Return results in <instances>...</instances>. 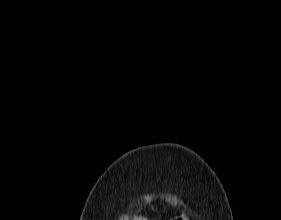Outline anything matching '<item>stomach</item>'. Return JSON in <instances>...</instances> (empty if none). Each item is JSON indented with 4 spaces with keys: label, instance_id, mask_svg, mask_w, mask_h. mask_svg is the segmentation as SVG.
<instances>
[{
    "label": "stomach",
    "instance_id": "stomach-1",
    "mask_svg": "<svg viewBox=\"0 0 281 220\" xmlns=\"http://www.w3.org/2000/svg\"><path fill=\"white\" fill-rule=\"evenodd\" d=\"M181 220H187V219H185V218H181Z\"/></svg>",
    "mask_w": 281,
    "mask_h": 220
}]
</instances>
